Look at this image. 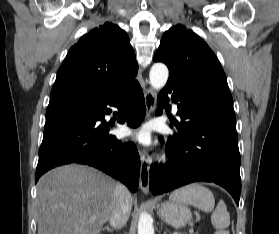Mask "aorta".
<instances>
[{"mask_svg":"<svg viewBox=\"0 0 279 234\" xmlns=\"http://www.w3.org/2000/svg\"><path fill=\"white\" fill-rule=\"evenodd\" d=\"M168 77L169 71L165 64L155 63L151 67L149 80L154 89L160 90L163 88L168 80ZM138 234H154L152 217L146 212H142L139 216Z\"/></svg>","mask_w":279,"mask_h":234,"instance_id":"1","label":"aorta"}]
</instances>
